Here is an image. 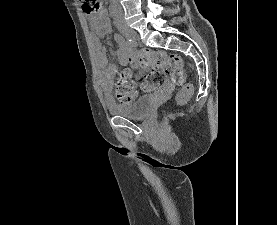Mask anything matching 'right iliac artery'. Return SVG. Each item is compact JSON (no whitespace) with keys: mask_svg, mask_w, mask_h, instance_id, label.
<instances>
[{"mask_svg":"<svg viewBox=\"0 0 277 225\" xmlns=\"http://www.w3.org/2000/svg\"><path fill=\"white\" fill-rule=\"evenodd\" d=\"M119 35V34H118ZM123 40H124V38L121 36V35H119ZM124 42H125V44L128 46V47H132L133 46V41L131 40V39H129V38H127L126 40H124Z\"/></svg>","mask_w":277,"mask_h":225,"instance_id":"right-iliac-artery-1","label":"right iliac artery"}]
</instances>
